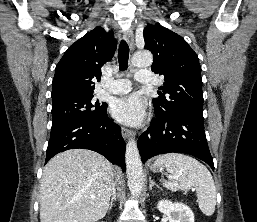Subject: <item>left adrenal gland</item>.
<instances>
[{"instance_id":"a2214340","label":"left adrenal gland","mask_w":257,"mask_h":222,"mask_svg":"<svg viewBox=\"0 0 257 222\" xmlns=\"http://www.w3.org/2000/svg\"><path fill=\"white\" fill-rule=\"evenodd\" d=\"M149 181H150V183H149V189L150 190L152 189L153 186H156V187L159 188V186L152 180L151 177H149Z\"/></svg>"}]
</instances>
